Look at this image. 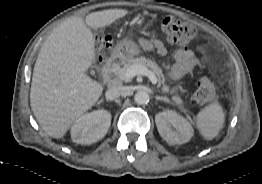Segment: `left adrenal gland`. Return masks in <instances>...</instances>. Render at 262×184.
<instances>
[{
    "label": "left adrenal gland",
    "instance_id": "obj_1",
    "mask_svg": "<svg viewBox=\"0 0 262 184\" xmlns=\"http://www.w3.org/2000/svg\"><path fill=\"white\" fill-rule=\"evenodd\" d=\"M155 99H157V100H163V101H165V102H167V103H170V101H169L166 97L155 96Z\"/></svg>",
    "mask_w": 262,
    "mask_h": 184
}]
</instances>
